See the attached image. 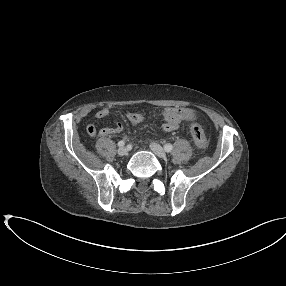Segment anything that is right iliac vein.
<instances>
[{"label": "right iliac vein", "mask_w": 286, "mask_h": 286, "mask_svg": "<svg viewBox=\"0 0 286 286\" xmlns=\"http://www.w3.org/2000/svg\"><path fill=\"white\" fill-rule=\"evenodd\" d=\"M117 152H118V155H119V156H125V155L128 154L127 148H126V147H123V146L120 147Z\"/></svg>", "instance_id": "obj_1"}]
</instances>
